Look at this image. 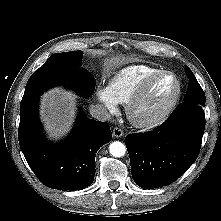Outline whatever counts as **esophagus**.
Wrapping results in <instances>:
<instances>
[{"instance_id": "obj_1", "label": "esophagus", "mask_w": 221, "mask_h": 221, "mask_svg": "<svg viewBox=\"0 0 221 221\" xmlns=\"http://www.w3.org/2000/svg\"><path fill=\"white\" fill-rule=\"evenodd\" d=\"M124 135L123 131L119 128H114L113 129V136L116 138H120Z\"/></svg>"}]
</instances>
